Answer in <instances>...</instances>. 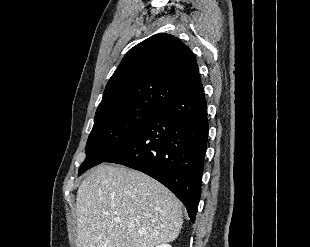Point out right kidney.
Listing matches in <instances>:
<instances>
[{"label": "right kidney", "mask_w": 310, "mask_h": 247, "mask_svg": "<svg viewBox=\"0 0 310 247\" xmlns=\"http://www.w3.org/2000/svg\"><path fill=\"white\" fill-rule=\"evenodd\" d=\"M156 247H172V246L169 245V244H161V245H158V246H156Z\"/></svg>", "instance_id": "ca27d5eb"}]
</instances>
